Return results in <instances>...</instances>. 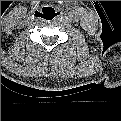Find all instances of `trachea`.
Returning a JSON list of instances; mask_svg holds the SVG:
<instances>
[{
    "mask_svg": "<svg viewBox=\"0 0 121 121\" xmlns=\"http://www.w3.org/2000/svg\"><path fill=\"white\" fill-rule=\"evenodd\" d=\"M55 10L51 7H44L43 18L46 20H52L55 17Z\"/></svg>",
    "mask_w": 121,
    "mask_h": 121,
    "instance_id": "3493384b",
    "label": "trachea"
}]
</instances>
